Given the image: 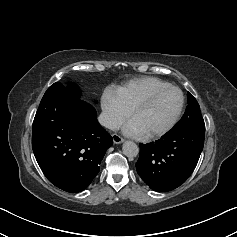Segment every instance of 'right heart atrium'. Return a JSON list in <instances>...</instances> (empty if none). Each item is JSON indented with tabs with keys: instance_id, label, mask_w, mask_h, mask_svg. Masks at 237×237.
Returning <instances> with one entry per match:
<instances>
[{
	"instance_id": "d8ad5b80",
	"label": "right heart atrium",
	"mask_w": 237,
	"mask_h": 237,
	"mask_svg": "<svg viewBox=\"0 0 237 237\" xmlns=\"http://www.w3.org/2000/svg\"><path fill=\"white\" fill-rule=\"evenodd\" d=\"M101 107L104 125L109 129L119 127L129 116V111L110 90L103 94Z\"/></svg>"
}]
</instances>
